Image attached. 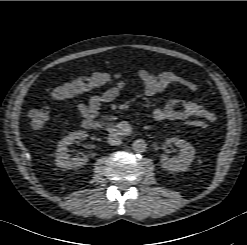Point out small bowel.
Returning <instances> with one entry per match:
<instances>
[{"label":"small bowel","instance_id":"1","mask_svg":"<svg viewBox=\"0 0 247 245\" xmlns=\"http://www.w3.org/2000/svg\"><path fill=\"white\" fill-rule=\"evenodd\" d=\"M137 79L142 92L147 96L159 94L172 84L180 85L192 92L198 91V86L194 82L171 71L155 74L143 69L138 71ZM127 85L128 81L119 77L114 85L100 94L91 96L87 103L78 104L76 107L77 112L83 119L96 118L99 115L101 106L116 100ZM153 118L156 121L187 120L190 118L204 120L209 123L216 121V115L204 105L195 101L178 99L169 101L164 107L154 109Z\"/></svg>","mask_w":247,"mask_h":245}]
</instances>
